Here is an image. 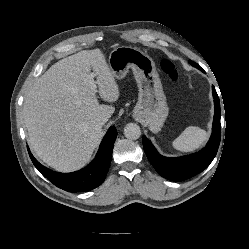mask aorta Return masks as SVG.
Here are the masks:
<instances>
[{
    "instance_id": "obj_1",
    "label": "aorta",
    "mask_w": 249,
    "mask_h": 249,
    "mask_svg": "<svg viewBox=\"0 0 249 249\" xmlns=\"http://www.w3.org/2000/svg\"><path fill=\"white\" fill-rule=\"evenodd\" d=\"M124 135L130 140H136L141 135L140 127L135 123H129L124 127Z\"/></svg>"
}]
</instances>
